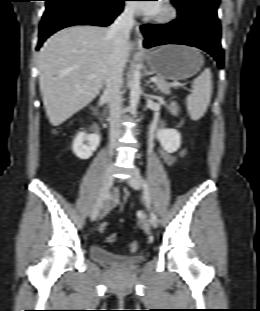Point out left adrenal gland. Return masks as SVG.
Here are the masks:
<instances>
[{"mask_svg":"<svg viewBox=\"0 0 260 311\" xmlns=\"http://www.w3.org/2000/svg\"><path fill=\"white\" fill-rule=\"evenodd\" d=\"M150 84V81H147V86L149 87V88H151V89H153L154 91H156V89L152 86V85H149Z\"/></svg>","mask_w":260,"mask_h":311,"instance_id":"1","label":"left adrenal gland"}]
</instances>
